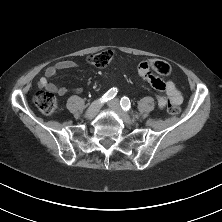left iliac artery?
<instances>
[{"label":"left iliac artery","mask_w":222,"mask_h":222,"mask_svg":"<svg viewBox=\"0 0 222 222\" xmlns=\"http://www.w3.org/2000/svg\"><path fill=\"white\" fill-rule=\"evenodd\" d=\"M120 105L123 110L128 111L131 108V103L128 97H122L120 101Z\"/></svg>","instance_id":"1"}]
</instances>
